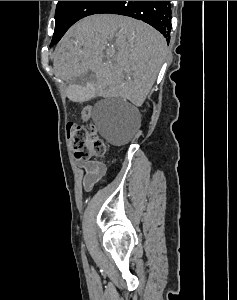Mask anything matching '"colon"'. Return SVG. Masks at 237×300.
Returning a JSON list of instances; mask_svg holds the SVG:
<instances>
[{"label": "colon", "mask_w": 237, "mask_h": 300, "mask_svg": "<svg viewBox=\"0 0 237 300\" xmlns=\"http://www.w3.org/2000/svg\"><path fill=\"white\" fill-rule=\"evenodd\" d=\"M67 137L78 159L99 158L106 152V143L97 135L94 127L71 123L67 128Z\"/></svg>", "instance_id": "5ec220e1"}]
</instances>
